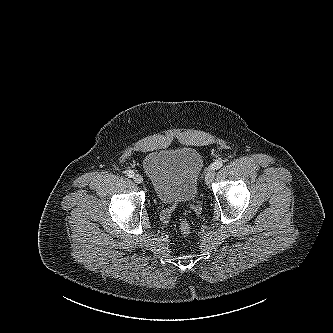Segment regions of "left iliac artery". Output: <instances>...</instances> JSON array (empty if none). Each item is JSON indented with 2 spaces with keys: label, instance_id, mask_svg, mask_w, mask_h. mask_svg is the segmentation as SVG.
Instances as JSON below:
<instances>
[{
  "label": "left iliac artery",
  "instance_id": "1",
  "mask_svg": "<svg viewBox=\"0 0 333 333\" xmlns=\"http://www.w3.org/2000/svg\"><path fill=\"white\" fill-rule=\"evenodd\" d=\"M223 166V162L222 161H215L209 168H213V169H219Z\"/></svg>",
  "mask_w": 333,
  "mask_h": 333
}]
</instances>
